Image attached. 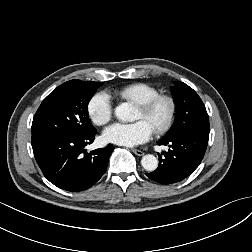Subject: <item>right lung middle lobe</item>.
Instances as JSON below:
<instances>
[{"label":"right lung middle lobe","mask_w":252,"mask_h":252,"mask_svg":"<svg viewBox=\"0 0 252 252\" xmlns=\"http://www.w3.org/2000/svg\"><path fill=\"white\" fill-rule=\"evenodd\" d=\"M103 82L70 80L55 88L41 103L32 122V136H83L95 132L88 103Z\"/></svg>","instance_id":"obj_1"}]
</instances>
